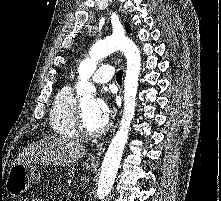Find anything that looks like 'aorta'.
Wrapping results in <instances>:
<instances>
[{
	"label": "aorta",
	"instance_id": "obj_1",
	"mask_svg": "<svg viewBox=\"0 0 221 201\" xmlns=\"http://www.w3.org/2000/svg\"><path fill=\"white\" fill-rule=\"evenodd\" d=\"M117 50L122 51L127 60L124 80V110L119 129L110 142L102 162L97 189L99 199H104L112 189L135 114L138 79L141 69V56L138 47L124 35H111L98 41L92 46L89 52L90 57L82 61L79 66V81L76 87L78 95H85L86 92H89L92 89L89 78L95 72L97 62Z\"/></svg>",
	"mask_w": 221,
	"mask_h": 201
}]
</instances>
